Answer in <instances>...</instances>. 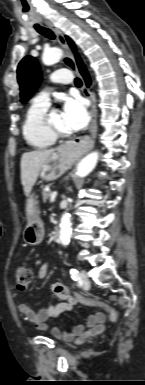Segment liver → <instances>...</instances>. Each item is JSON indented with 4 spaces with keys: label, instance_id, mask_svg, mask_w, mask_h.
<instances>
[{
    "label": "liver",
    "instance_id": "liver-1",
    "mask_svg": "<svg viewBox=\"0 0 145 385\" xmlns=\"http://www.w3.org/2000/svg\"><path fill=\"white\" fill-rule=\"evenodd\" d=\"M56 150L57 149L34 150L22 155L20 163L21 182L26 196H29L32 187L38 178L42 165Z\"/></svg>",
    "mask_w": 145,
    "mask_h": 385
}]
</instances>
